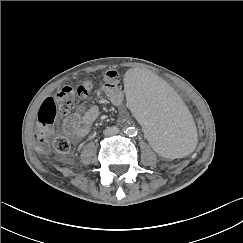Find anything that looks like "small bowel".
<instances>
[{
	"label": "small bowel",
	"instance_id": "c3829d8e",
	"mask_svg": "<svg viewBox=\"0 0 243 243\" xmlns=\"http://www.w3.org/2000/svg\"><path fill=\"white\" fill-rule=\"evenodd\" d=\"M105 85L103 91L110 102L116 106L123 103L124 94L120 86V75L115 69H109L104 75ZM99 115L97 105L91 106L87 111L82 113L80 107L76 112L65 117L63 121V132L73 140L84 138L93 122Z\"/></svg>",
	"mask_w": 243,
	"mask_h": 243
}]
</instances>
